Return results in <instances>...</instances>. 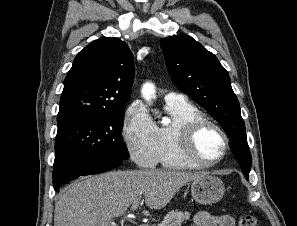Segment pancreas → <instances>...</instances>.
<instances>
[{
  "label": "pancreas",
  "instance_id": "cf45deb5",
  "mask_svg": "<svg viewBox=\"0 0 297 226\" xmlns=\"http://www.w3.org/2000/svg\"><path fill=\"white\" fill-rule=\"evenodd\" d=\"M190 213L182 211H170L158 226H181L182 223L189 220Z\"/></svg>",
  "mask_w": 297,
  "mask_h": 226
}]
</instances>
